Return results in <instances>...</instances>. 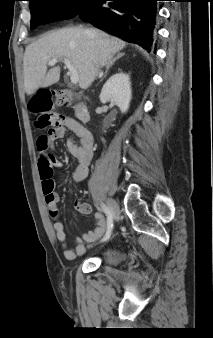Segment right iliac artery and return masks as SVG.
Returning a JSON list of instances; mask_svg holds the SVG:
<instances>
[{
    "instance_id": "82829eb1",
    "label": "right iliac artery",
    "mask_w": 213,
    "mask_h": 338,
    "mask_svg": "<svg viewBox=\"0 0 213 338\" xmlns=\"http://www.w3.org/2000/svg\"><path fill=\"white\" fill-rule=\"evenodd\" d=\"M103 211L106 215V219H107V232L105 234V236L103 237V239L101 240L102 242L108 240L111 236L112 230H113V217L109 211V208L106 205L102 206Z\"/></svg>"
}]
</instances>
